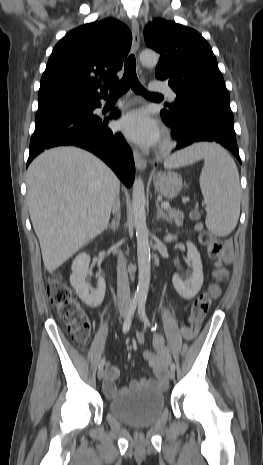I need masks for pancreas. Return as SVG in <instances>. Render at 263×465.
Masks as SVG:
<instances>
[{"label":"pancreas","instance_id":"cf45deb5","mask_svg":"<svg viewBox=\"0 0 263 465\" xmlns=\"http://www.w3.org/2000/svg\"><path fill=\"white\" fill-rule=\"evenodd\" d=\"M167 213L169 214L170 221H174L177 226H181L183 224L184 215L181 211L168 209Z\"/></svg>","mask_w":263,"mask_h":465}]
</instances>
